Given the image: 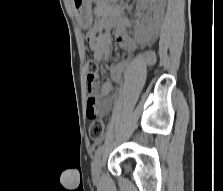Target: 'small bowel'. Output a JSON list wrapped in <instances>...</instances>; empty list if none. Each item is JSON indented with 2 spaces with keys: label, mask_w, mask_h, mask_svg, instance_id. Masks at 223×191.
<instances>
[{
  "label": "small bowel",
  "mask_w": 223,
  "mask_h": 191,
  "mask_svg": "<svg viewBox=\"0 0 223 191\" xmlns=\"http://www.w3.org/2000/svg\"><path fill=\"white\" fill-rule=\"evenodd\" d=\"M99 1V0H96ZM95 15L98 18L94 21L92 27L87 33L90 49L97 61L107 59L112 47V31L119 45L128 52L136 50L135 41L129 36L127 28L129 21L125 18L114 19V12L109 10L105 5L98 3L95 8ZM146 63L152 64L155 61L153 52H147L144 56ZM129 61L123 60L116 64L110 70L111 79L114 82H120L123 79L124 70L128 66ZM97 84L89 82L87 91V116L93 118L96 114L106 115L113 104V100L109 97L112 90L110 81H104L101 84L100 92H97Z\"/></svg>",
  "instance_id": "obj_1"
}]
</instances>
